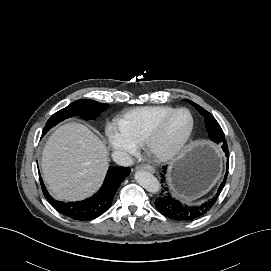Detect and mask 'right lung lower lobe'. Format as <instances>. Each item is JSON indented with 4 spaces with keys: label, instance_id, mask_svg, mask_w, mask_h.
<instances>
[{
    "label": "right lung lower lobe",
    "instance_id": "98d812e1",
    "mask_svg": "<svg viewBox=\"0 0 271 271\" xmlns=\"http://www.w3.org/2000/svg\"><path fill=\"white\" fill-rule=\"evenodd\" d=\"M129 174L128 167H110L101 189L95 195L84 201L69 203L53 199L47 192L41 177L40 182L46 199L60 213L75 220H92L110 208L119 185Z\"/></svg>",
    "mask_w": 271,
    "mask_h": 271
}]
</instances>
